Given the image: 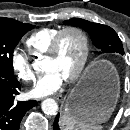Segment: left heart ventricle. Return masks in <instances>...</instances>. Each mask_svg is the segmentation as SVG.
<instances>
[{"mask_svg": "<svg viewBox=\"0 0 130 130\" xmlns=\"http://www.w3.org/2000/svg\"><path fill=\"white\" fill-rule=\"evenodd\" d=\"M82 52L81 38L74 32H68L61 39L57 55L45 59V70H55L66 79L77 68Z\"/></svg>", "mask_w": 130, "mask_h": 130, "instance_id": "left-heart-ventricle-1", "label": "left heart ventricle"}]
</instances>
